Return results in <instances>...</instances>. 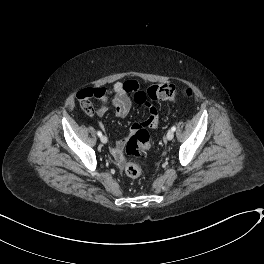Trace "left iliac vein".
<instances>
[{"label": "left iliac vein", "instance_id": "obj_1", "mask_svg": "<svg viewBox=\"0 0 264 264\" xmlns=\"http://www.w3.org/2000/svg\"><path fill=\"white\" fill-rule=\"evenodd\" d=\"M167 140H172L174 138V132L172 130L168 131L166 134Z\"/></svg>", "mask_w": 264, "mask_h": 264}]
</instances>
